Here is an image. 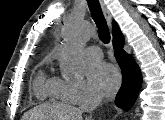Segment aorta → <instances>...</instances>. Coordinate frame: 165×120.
<instances>
[{"instance_id": "aorta-1", "label": "aorta", "mask_w": 165, "mask_h": 120, "mask_svg": "<svg viewBox=\"0 0 165 120\" xmlns=\"http://www.w3.org/2000/svg\"><path fill=\"white\" fill-rule=\"evenodd\" d=\"M90 37V30L84 21L70 17L64 28L60 65L68 76H77L85 68L82 48Z\"/></svg>"}]
</instances>
